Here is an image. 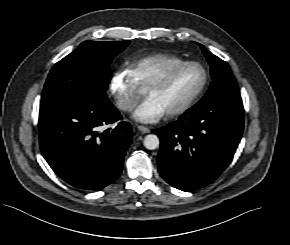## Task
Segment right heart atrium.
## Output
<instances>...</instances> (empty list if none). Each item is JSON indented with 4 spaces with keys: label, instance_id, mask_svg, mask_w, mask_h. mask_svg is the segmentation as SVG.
I'll return each instance as SVG.
<instances>
[{
    "label": "right heart atrium",
    "instance_id": "1",
    "mask_svg": "<svg viewBox=\"0 0 290 245\" xmlns=\"http://www.w3.org/2000/svg\"><path fill=\"white\" fill-rule=\"evenodd\" d=\"M109 88L119 109L131 111L134 108L139 88L129 69L121 67L115 70L110 79Z\"/></svg>",
    "mask_w": 290,
    "mask_h": 245
}]
</instances>
